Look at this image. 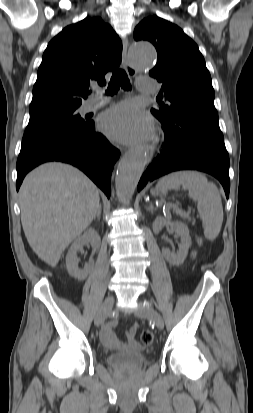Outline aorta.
Masks as SVG:
<instances>
[{
	"instance_id": "1",
	"label": "aorta",
	"mask_w": 253,
	"mask_h": 413,
	"mask_svg": "<svg viewBox=\"0 0 253 413\" xmlns=\"http://www.w3.org/2000/svg\"><path fill=\"white\" fill-rule=\"evenodd\" d=\"M129 56L136 69L146 70L153 66L156 51L147 41H135L129 48ZM146 164L147 158L142 149H132L121 159L115 178L116 193L120 201H130Z\"/></svg>"
}]
</instances>
